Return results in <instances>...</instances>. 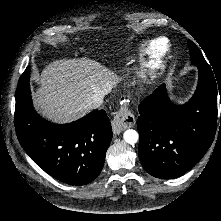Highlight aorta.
<instances>
[{"label":"aorta","instance_id":"aorta-1","mask_svg":"<svg viewBox=\"0 0 221 221\" xmlns=\"http://www.w3.org/2000/svg\"><path fill=\"white\" fill-rule=\"evenodd\" d=\"M123 138L126 143L133 145L139 140V134L133 129H128L124 132Z\"/></svg>","mask_w":221,"mask_h":221}]
</instances>
